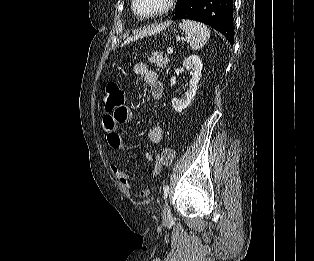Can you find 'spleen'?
Listing matches in <instances>:
<instances>
[{
	"mask_svg": "<svg viewBox=\"0 0 314 261\" xmlns=\"http://www.w3.org/2000/svg\"><path fill=\"white\" fill-rule=\"evenodd\" d=\"M179 27L191 39L190 47L192 50L202 48L210 38V29L199 22L192 20H183Z\"/></svg>",
	"mask_w": 314,
	"mask_h": 261,
	"instance_id": "1",
	"label": "spleen"
}]
</instances>
